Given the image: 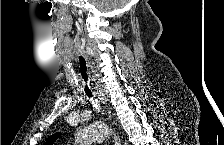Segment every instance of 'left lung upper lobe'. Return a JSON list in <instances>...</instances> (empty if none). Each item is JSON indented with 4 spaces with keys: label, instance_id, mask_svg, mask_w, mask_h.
<instances>
[{
    "label": "left lung upper lobe",
    "instance_id": "5c2ea615",
    "mask_svg": "<svg viewBox=\"0 0 224 145\" xmlns=\"http://www.w3.org/2000/svg\"><path fill=\"white\" fill-rule=\"evenodd\" d=\"M61 135L60 132L55 133L54 135H52L45 143V145H50L52 144L59 136Z\"/></svg>",
    "mask_w": 224,
    "mask_h": 145
}]
</instances>
